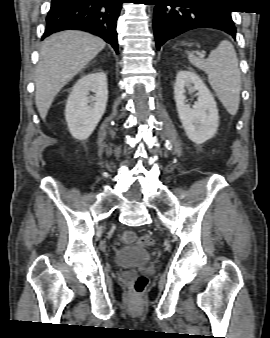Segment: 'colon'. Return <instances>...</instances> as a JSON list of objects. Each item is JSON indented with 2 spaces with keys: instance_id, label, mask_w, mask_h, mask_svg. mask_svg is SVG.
I'll return each instance as SVG.
<instances>
[{
  "instance_id": "obj_1",
  "label": "colon",
  "mask_w": 270,
  "mask_h": 338,
  "mask_svg": "<svg viewBox=\"0 0 270 338\" xmlns=\"http://www.w3.org/2000/svg\"><path fill=\"white\" fill-rule=\"evenodd\" d=\"M136 244L140 246H147L154 244V239L150 236H139L135 240ZM147 283V278L145 276H138L132 282V289L136 293H140L144 290Z\"/></svg>"
}]
</instances>
